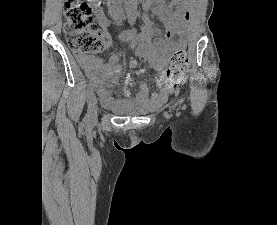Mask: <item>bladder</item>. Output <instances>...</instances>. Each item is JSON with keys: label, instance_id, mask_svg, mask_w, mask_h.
Wrapping results in <instances>:
<instances>
[{"label": "bladder", "instance_id": "bladder-1", "mask_svg": "<svg viewBox=\"0 0 277 225\" xmlns=\"http://www.w3.org/2000/svg\"><path fill=\"white\" fill-rule=\"evenodd\" d=\"M152 105L145 101L139 102H128V103H116L106 106L109 110L119 115H141L149 112Z\"/></svg>", "mask_w": 277, "mask_h": 225}]
</instances>
